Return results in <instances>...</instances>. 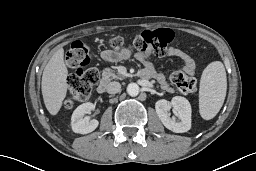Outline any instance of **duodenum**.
Listing matches in <instances>:
<instances>
[{
  "instance_id": "1",
  "label": "duodenum",
  "mask_w": 256,
  "mask_h": 171,
  "mask_svg": "<svg viewBox=\"0 0 256 171\" xmlns=\"http://www.w3.org/2000/svg\"><path fill=\"white\" fill-rule=\"evenodd\" d=\"M106 88H107V80L102 79L97 86V92L99 94H103L106 91Z\"/></svg>"
}]
</instances>
